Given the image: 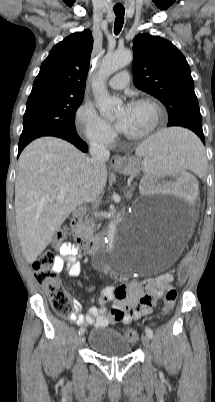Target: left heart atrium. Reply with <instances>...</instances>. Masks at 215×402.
Returning a JSON list of instances; mask_svg holds the SVG:
<instances>
[{"label":"left heart atrium","mask_w":215,"mask_h":402,"mask_svg":"<svg viewBox=\"0 0 215 402\" xmlns=\"http://www.w3.org/2000/svg\"><path fill=\"white\" fill-rule=\"evenodd\" d=\"M129 123V106L123 108L121 114L119 115L115 126L120 132H126Z\"/></svg>","instance_id":"1"}]
</instances>
